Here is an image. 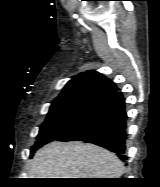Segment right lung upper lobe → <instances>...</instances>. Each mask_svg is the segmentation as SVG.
Masks as SVG:
<instances>
[{
  "instance_id": "right-lung-upper-lobe-1",
  "label": "right lung upper lobe",
  "mask_w": 160,
  "mask_h": 187,
  "mask_svg": "<svg viewBox=\"0 0 160 187\" xmlns=\"http://www.w3.org/2000/svg\"><path fill=\"white\" fill-rule=\"evenodd\" d=\"M118 91L116 85L96 71H87L74 76L64 87L50 108L72 103L97 105Z\"/></svg>"
}]
</instances>
